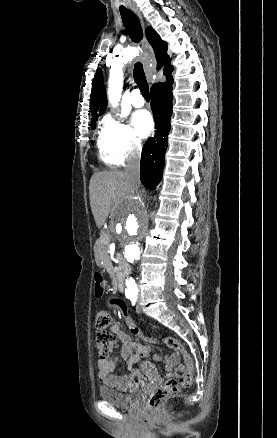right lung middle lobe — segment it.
<instances>
[{"mask_svg": "<svg viewBox=\"0 0 277 438\" xmlns=\"http://www.w3.org/2000/svg\"><path fill=\"white\" fill-rule=\"evenodd\" d=\"M96 120H97V119H96ZM95 126H96L95 120H92V121H91V127H92V129H95Z\"/></svg>", "mask_w": 277, "mask_h": 438, "instance_id": "1", "label": "right lung middle lobe"}]
</instances>
